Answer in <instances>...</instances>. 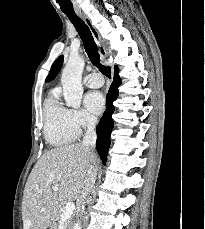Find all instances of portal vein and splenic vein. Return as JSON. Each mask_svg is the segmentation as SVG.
<instances>
[{
    "label": "portal vein and splenic vein",
    "instance_id": "portal-vein-and-splenic-vein-1",
    "mask_svg": "<svg viewBox=\"0 0 205 229\" xmlns=\"http://www.w3.org/2000/svg\"><path fill=\"white\" fill-rule=\"evenodd\" d=\"M52 189L54 191L58 190L57 186H53ZM75 210V204L74 202H68L64 208V211L61 214V223H64L66 220H68L71 215L73 214V211Z\"/></svg>",
    "mask_w": 205,
    "mask_h": 229
}]
</instances>
